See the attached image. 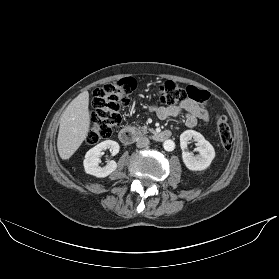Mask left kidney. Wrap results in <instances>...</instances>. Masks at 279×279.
<instances>
[{"label":"left kidney","instance_id":"1","mask_svg":"<svg viewBox=\"0 0 279 279\" xmlns=\"http://www.w3.org/2000/svg\"><path fill=\"white\" fill-rule=\"evenodd\" d=\"M192 138L197 142V150L199 151L197 156L187 151L188 141ZM180 147L182 149L183 162L192 171L205 170L215 157V150L210 142L205 140L202 134L194 130H186L180 135Z\"/></svg>","mask_w":279,"mask_h":279}]
</instances>
